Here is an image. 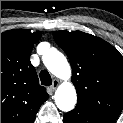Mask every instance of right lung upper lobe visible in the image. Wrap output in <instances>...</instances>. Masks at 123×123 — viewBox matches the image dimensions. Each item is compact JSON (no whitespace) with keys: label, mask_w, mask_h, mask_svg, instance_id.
<instances>
[{"label":"right lung upper lobe","mask_w":123,"mask_h":123,"mask_svg":"<svg viewBox=\"0 0 123 123\" xmlns=\"http://www.w3.org/2000/svg\"><path fill=\"white\" fill-rule=\"evenodd\" d=\"M42 32L18 29L1 33V123H34L48 99L30 55Z\"/></svg>","instance_id":"right-lung-upper-lobe-1"}]
</instances>
